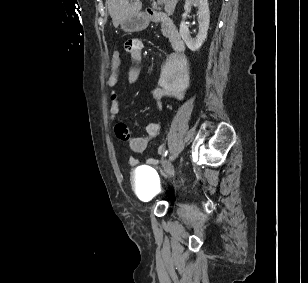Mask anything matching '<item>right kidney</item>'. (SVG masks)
Returning <instances> with one entry per match:
<instances>
[{
  "instance_id": "right-kidney-1",
  "label": "right kidney",
  "mask_w": 308,
  "mask_h": 283,
  "mask_svg": "<svg viewBox=\"0 0 308 283\" xmlns=\"http://www.w3.org/2000/svg\"><path fill=\"white\" fill-rule=\"evenodd\" d=\"M192 6L198 8L199 33L192 38L189 33L187 22H185ZM210 23V12L208 0H186L184 5V13L180 24V35L191 51H197L207 38V31Z\"/></svg>"
}]
</instances>
